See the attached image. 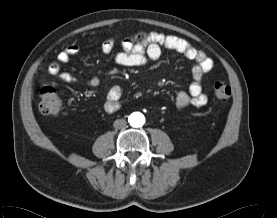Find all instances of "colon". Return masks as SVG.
Segmentation results:
<instances>
[{"label": "colon", "mask_w": 277, "mask_h": 218, "mask_svg": "<svg viewBox=\"0 0 277 218\" xmlns=\"http://www.w3.org/2000/svg\"><path fill=\"white\" fill-rule=\"evenodd\" d=\"M132 40L136 43H142L144 41V35L141 33L134 34ZM214 89L216 96L222 101H227L232 95V89L226 83L216 82ZM39 110L42 114L46 115L59 114L61 110V100L53 87L47 86L41 90Z\"/></svg>", "instance_id": "colon-1"}]
</instances>
